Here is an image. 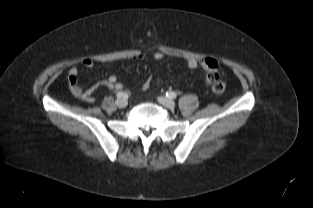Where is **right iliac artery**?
Here are the masks:
<instances>
[{
	"label": "right iliac artery",
	"instance_id": "82829eb1",
	"mask_svg": "<svg viewBox=\"0 0 313 208\" xmlns=\"http://www.w3.org/2000/svg\"><path fill=\"white\" fill-rule=\"evenodd\" d=\"M116 96H117L118 98H122V97L125 96V93H123L122 91H119V92H117Z\"/></svg>",
	"mask_w": 313,
	"mask_h": 208
}]
</instances>
